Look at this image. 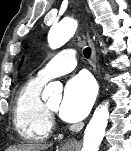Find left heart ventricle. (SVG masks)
I'll return each mask as SVG.
<instances>
[{
  "label": "left heart ventricle",
  "mask_w": 131,
  "mask_h": 151,
  "mask_svg": "<svg viewBox=\"0 0 131 151\" xmlns=\"http://www.w3.org/2000/svg\"><path fill=\"white\" fill-rule=\"evenodd\" d=\"M48 105L54 109V110H57L59 108V105H60V98H57L51 102L48 103Z\"/></svg>",
  "instance_id": "1"
}]
</instances>
